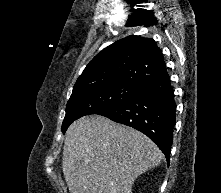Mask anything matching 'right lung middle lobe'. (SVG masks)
<instances>
[{
	"label": "right lung middle lobe",
	"mask_w": 221,
	"mask_h": 193,
	"mask_svg": "<svg viewBox=\"0 0 221 193\" xmlns=\"http://www.w3.org/2000/svg\"><path fill=\"white\" fill-rule=\"evenodd\" d=\"M141 86L137 83L117 82L73 90L66 106L62 132L65 133L69 125L82 116L99 114L128 101L140 91Z\"/></svg>",
	"instance_id": "dd1d6c3e"
}]
</instances>
